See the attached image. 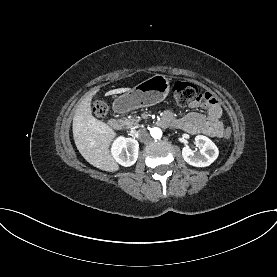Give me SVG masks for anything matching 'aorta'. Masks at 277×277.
Here are the masks:
<instances>
[{
	"label": "aorta",
	"instance_id": "aorta-1",
	"mask_svg": "<svg viewBox=\"0 0 277 277\" xmlns=\"http://www.w3.org/2000/svg\"><path fill=\"white\" fill-rule=\"evenodd\" d=\"M151 136L155 139H159L162 137V130L160 128L154 127L150 130Z\"/></svg>",
	"mask_w": 277,
	"mask_h": 277
}]
</instances>
